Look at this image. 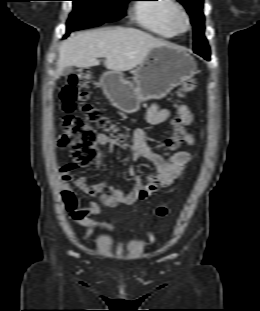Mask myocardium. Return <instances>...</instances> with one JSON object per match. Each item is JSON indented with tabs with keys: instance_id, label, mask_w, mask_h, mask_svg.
Segmentation results:
<instances>
[{
	"instance_id": "1",
	"label": "myocardium",
	"mask_w": 260,
	"mask_h": 311,
	"mask_svg": "<svg viewBox=\"0 0 260 311\" xmlns=\"http://www.w3.org/2000/svg\"><path fill=\"white\" fill-rule=\"evenodd\" d=\"M180 21L184 23V27L179 26ZM169 23L175 34H184L191 29L190 17L186 9L177 2L171 8Z\"/></svg>"
}]
</instances>
